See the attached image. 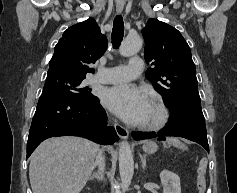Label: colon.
<instances>
[{"mask_svg": "<svg viewBox=\"0 0 237 193\" xmlns=\"http://www.w3.org/2000/svg\"><path fill=\"white\" fill-rule=\"evenodd\" d=\"M168 145L179 149H184L185 145L176 138L166 140ZM208 161L206 158H200L197 165V176H198V189L200 193H203L206 188V170Z\"/></svg>", "mask_w": 237, "mask_h": 193, "instance_id": "obj_1", "label": "colon"}]
</instances>
